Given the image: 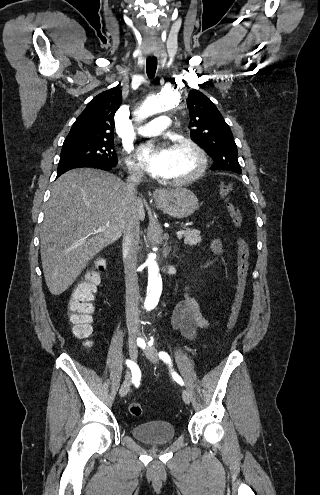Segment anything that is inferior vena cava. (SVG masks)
<instances>
[{
	"label": "inferior vena cava",
	"instance_id": "obj_1",
	"mask_svg": "<svg viewBox=\"0 0 320 495\" xmlns=\"http://www.w3.org/2000/svg\"><path fill=\"white\" fill-rule=\"evenodd\" d=\"M143 178V172L131 169L125 184L128 200L127 219L123 235V258L126 283V323L129 331H138L139 285L137 276V248L140 239L139 218L134 202L136 187Z\"/></svg>",
	"mask_w": 320,
	"mask_h": 495
}]
</instances>
